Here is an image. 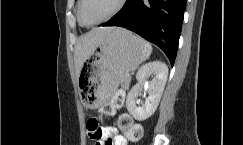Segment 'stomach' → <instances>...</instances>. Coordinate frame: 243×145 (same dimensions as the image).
<instances>
[{
  "instance_id": "1",
  "label": "stomach",
  "mask_w": 243,
  "mask_h": 145,
  "mask_svg": "<svg viewBox=\"0 0 243 145\" xmlns=\"http://www.w3.org/2000/svg\"><path fill=\"white\" fill-rule=\"evenodd\" d=\"M151 51L149 43L132 32L112 30L83 63L78 84L84 88L79 102L92 109L104 106L118 89L121 77L136 69Z\"/></svg>"
}]
</instances>
